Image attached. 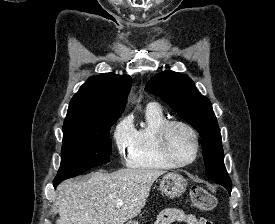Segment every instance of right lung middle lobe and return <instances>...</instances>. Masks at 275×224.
I'll return each instance as SVG.
<instances>
[{
	"label": "right lung middle lobe",
	"instance_id": "obj_1",
	"mask_svg": "<svg viewBox=\"0 0 275 224\" xmlns=\"http://www.w3.org/2000/svg\"><path fill=\"white\" fill-rule=\"evenodd\" d=\"M116 120L64 124L61 166L54 182L107 162L111 155L109 132Z\"/></svg>",
	"mask_w": 275,
	"mask_h": 224
}]
</instances>
